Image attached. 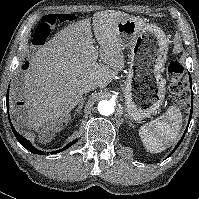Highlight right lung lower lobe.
Masks as SVG:
<instances>
[{"mask_svg": "<svg viewBox=\"0 0 199 199\" xmlns=\"http://www.w3.org/2000/svg\"><path fill=\"white\" fill-rule=\"evenodd\" d=\"M9 91V89H8ZM7 91V97H6V105H7V109L9 108V101H8V93ZM9 115V114H8ZM10 125L12 127V130L15 134V137L17 138V140L19 141V143L24 146L27 150H29L30 152L34 153V154H40V155H44L45 153L41 150H38L37 148H35L34 146H32V144L30 143V141H28L27 139H25L23 136H21L13 127L12 123L10 122ZM75 143V141H72L71 143L67 144L64 148L57 150V151H52L50 152V154H56L59 153L61 151L66 150L67 148H69L70 146H72Z\"/></svg>", "mask_w": 199, "mask_h": 199, "instance_id": "right-lung-lower-lobe-1", "label": "right lung lower lobe"}]
</instances>
